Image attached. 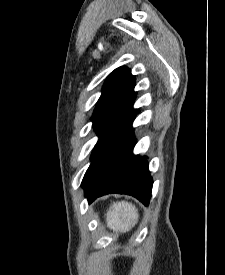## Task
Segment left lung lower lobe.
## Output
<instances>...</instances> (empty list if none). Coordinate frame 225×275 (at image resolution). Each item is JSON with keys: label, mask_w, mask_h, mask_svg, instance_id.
Returning <instances> with one entry per match:
<instances>
[{"label": "left lung lower lobe", "mask_w": 225, "mask_h": 275, "mask_svg": "<svg viewBox=\"0 0 225 275\" xmlns=\"http://www.w3.org/2000/svg\"><path fill=\"white\" fill-rule=\"evenodd\" d=\"M135 143L131 129L97 161L82 183L89 203L102 195L117 193L132 195L144 205L149 204L153 181L146 158L133 154Z\"/></svg>", "instance_id": "obj_1"}]
</instances>
